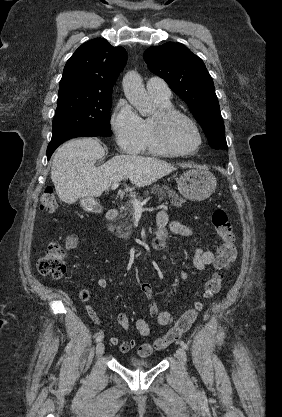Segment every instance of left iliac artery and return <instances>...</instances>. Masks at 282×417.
Wrapping results in <instances>:
<instances>
[{"label": "left iliac artery", "instance_id": "1", "mask_svg": "<svg viewBox=\"0 0 282 417\" xmlns=\"http://www.w3.org/2000/svg\"><path fill=\"white\" fill-rule=\"evenodd\" d=\"M180 345H181L182 348H184L186 350L188 349V345L184 341H180Z\"/></svg>", "mask_w": 282, "mask_h": 417}]
</instances>
